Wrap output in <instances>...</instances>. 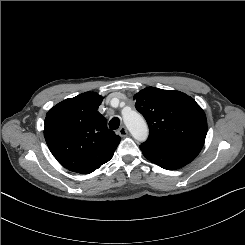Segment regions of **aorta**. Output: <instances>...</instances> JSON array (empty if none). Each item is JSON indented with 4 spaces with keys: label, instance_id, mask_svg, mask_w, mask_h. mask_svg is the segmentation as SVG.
Returning <instances> with one entry per match:
<instances>
[{
    "label": "aorta",
    "instance_id": "aorta-1",
    "mask_svg": "<svg viewBox=\"0 0 245 245\" xmlns=\"http://www.w3.org/2000/svg\"><path fill=\"white\" fill-rule=\"evenodd\" d=\"M130 133L139 142H143L148 137V127L143 117L137 112L131 111L123 117Z\"/></svg>",
    "mask_w": 245,
    "mask_h": 245
}]
</instances>
